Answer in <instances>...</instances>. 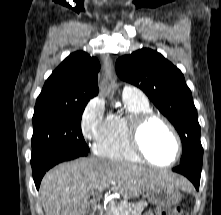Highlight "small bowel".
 Returning <instances> with one entry per match:
<instances>
[{"label": "small bowel", "instance_id": "small-bowel-1", "mask_svg": "<svg viewBox=\"0 0 221 215\" xmlns=\"http://www.w3.org/2000/svg\"><path fill=\"white\" fill-rule=\"evenodd\" d=\"M144 215H153L151 212H147Z\"/></svg>", "mask_w": 221, "mask_h": 215}]
</instances>
